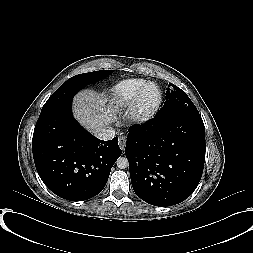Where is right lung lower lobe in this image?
<instances>
[{
  "label": "right lung lower lobe",
  "mask_w": 253,
  "mask_h": 253,
  "mask_svg": "<svg viewBox=\"0 0 253 253\" xmlns=\"http://www.w3.org/2000/svg\"><path fill=\"white\" fill-rule=\"evenodd\" d=\"M71 106L72 101L40 113L32 151L40 178L54 194L83 201L103 190L122 151L118 137L103 141L84 130Z\"/></svg>",
  "instance_id": "98d812e1"
}]
</instances>
